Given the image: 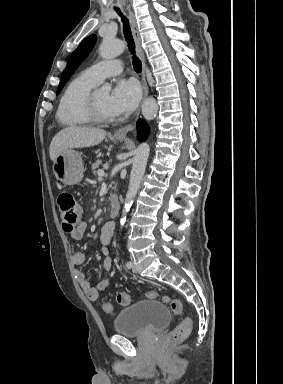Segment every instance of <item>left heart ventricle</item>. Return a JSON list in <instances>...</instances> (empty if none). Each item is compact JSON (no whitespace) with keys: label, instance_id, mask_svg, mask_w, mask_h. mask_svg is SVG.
Here are the masks:
<instances>
[{"label":"left heart ventricle","instance_id":"obj_1","mask_svg":"<svg viewBox=\"0 0 283 384\" xmlns=\"http://www.w3.org/2000/svg\"><path fill=\"white\" fill-rule=\"evenodd\" d=\"M94 96L100 114L106 118H115L116 116L110 112L108 106L109 92L103 90H94Z\"/></svg>","mask_w":283,"mask_h":384}]
</instances>
